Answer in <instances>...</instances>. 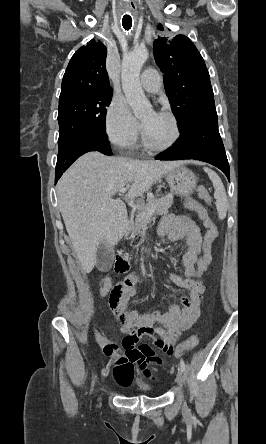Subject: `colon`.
I'll return each instance as SVG.
<instances>
[{
	"label": "colon",
	"instance_id": "5ec220e1",
	"mask_svg": "<svg viewBox=\"0 0 266 444\" xmlns=\"http://www.w3.org/2000/svg\"><path fill=\"white\" fill-rule=\"evenodd\" d=\"M196 193L203 201L209 203L210 198L208 191L206 190L205 187L198 186L196 188ZM185 205L188 209L193 210L198 214L199 218L203 222V225L206 229L202 245V251L195 264L193 276L191 278V280L193 281H198L201 280L203 274L205 273V271L207 270L212 261L213 243L217 237V228L210 219L206 209L198 201H196L193 198H187L185 201ZM133 295L134 294H133L132 282L129 281L128 279H124L112 287L108 299L109 306L111 307V309L117 307H123L126 309L128 307L129 300ZM128 311L141 315H152L158 311L165 312L162 309H154L149 314H143L137 310H128ZM199 342H200V335L195 334L191 338H189L186 342H184L181 346H179L177 348L176 353L177 354L186 353L187 351L191 350L196 345H198Z\"/></svg>",
	"mask_w": 266,
	"mask_h": 444
}]
</instances>
